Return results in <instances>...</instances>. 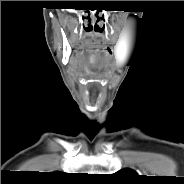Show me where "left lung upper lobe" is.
<instances>
[{
  "instance_id": "5c2ea615",
  "label": "left lung upper lobe",
  "mask_w": 184,
  "mask_h": 184,
  "mask_svg": "<svg viewBox=\"0 0 184 184\" xmlns=\"http://www.w3.org/2000/svg\"><path fill=\"white\" fill-rule=\"evenodd\" d=\"M118 175H120L122 179H133L137 177V173L131 169H123L118 172Z\"/></svg>"
}]
</instances>
